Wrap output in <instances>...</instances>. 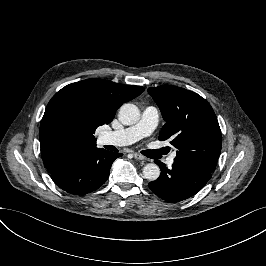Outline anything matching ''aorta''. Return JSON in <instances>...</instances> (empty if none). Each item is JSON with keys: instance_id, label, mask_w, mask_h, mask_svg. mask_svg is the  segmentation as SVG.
Instances as JSON below:
<instances>
[{"instance_id": "1", "label": "aorta", "mask_w": 266, "mask_h": 266, "mask_svg": "<svg viewBox=\"0 0 266 266\" xmlns=\"http://www.w3.org/2000/svg\"><path fill=\"white\" fill-rule=\"evenodd\" d=\"M118 118L123 125H134L140 119L139 108L132 103L123 104L119 110ZM160 173V168L155 163L146 164L143 168V176L149 181L157 180Z\"/></svg>"}]
</instances>
